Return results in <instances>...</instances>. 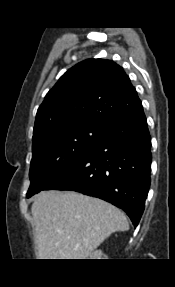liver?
Masks as SVG:
<instances>
[{"mask_svg": "<svg viewBox=\"0 0 175 287\" xmlns=\"http://www.w3.org/2000/svg\"><path fill=\"white\" fill-rule=\"evenodd\" d=\"M31 212L39 259H85L112 233L129 229L115 206L71 191L39 193Z\"/></svg>", "mask_w": 175, "mask_h": 287, "instance_id": "1", "label": "liver"}]
</instances>
